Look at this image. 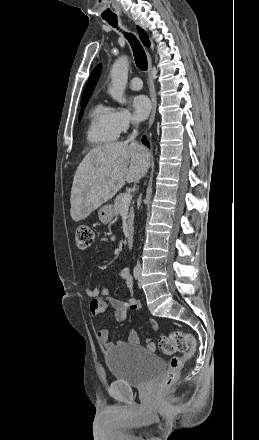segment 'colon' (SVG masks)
<instances>
[{
    "label": "colon",
    "mask_w": 259,
    "mask_h": 440,
    "mask_svg": "<svg viewBox=\"0 0 259 440\" xmlns=\"http://www.w3.org/2000/svg\"><path fill=\"white\" fill-rule=\"evenodd\" d=\"M93 239L94 233L90 226L82 224L77 227L75 240L79 248L86 249L90 247ZM158 346L166 355H171L176 352L182 353L181 356L173 357L169 363L168 372L160 384V389L164 390L177 381L185 363L195 355L197 344L195 338L190 333L175 330L167 335L161 336L158 341Z\"/></svg>",
    "instance_id": "1"
}]
</instances>
